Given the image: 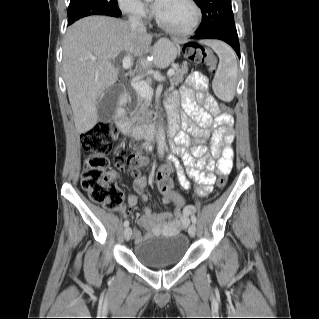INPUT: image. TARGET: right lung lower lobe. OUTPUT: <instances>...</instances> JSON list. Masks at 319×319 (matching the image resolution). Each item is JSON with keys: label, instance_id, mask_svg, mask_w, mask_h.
Wrapping results in <instances>:
<instances>
[{"label": "right lung lower lobe", "instance_id": "1", "mask_svg": "<svg viewBox=\"0 0 319 319\" xmlns=\"http://www.w3.org/2000/svg\"><path fill=\"white\" fill-rule=\"evenodd\" d=\"M120 15H121V12L119 11L118 13H114V14L108 15V16L119 17Z\"/></svg>", "mask_w": 319, "mask_h": 319}]
</instances>
